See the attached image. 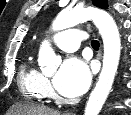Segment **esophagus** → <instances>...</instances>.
I'll list each match as a JSON object with an SVG mask.
<instances>
[{"mask_svg":"<svg viewBox=\"0 0 131 115\" xmlns=\"http://www.w3.org/2000/svg\"><path fill=\"white\" fill-rule=\"evenodd\" d=\"M98 58H101V51L98 53ZM72 113H67L66 115H71Z\"/></svg>","mask_w":131,"mask_h":115,"instance_id":"obj_1","label":"esophagus"}]
</instances>
